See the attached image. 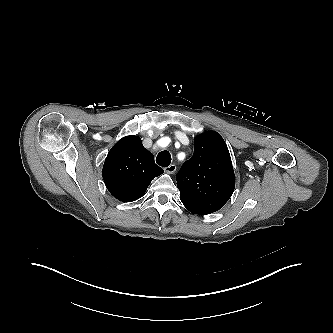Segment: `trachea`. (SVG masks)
Here are the masks:
<instances>
[{"mask_svg": "<svg viewBox=\"0 0 333 333\" xmlns=\"http://www.w3.org/2000/svg\"><path fill=\"white\" fill-rule=\"evenodd\" d=\"M156 163L162 167H167L171 163V155L168 151H161L156 157Z\"/></svg>", "mask_w": 333, "mask_h": 333, "instance_id": "obj_1", "label": "trachea"}]
</instances>
